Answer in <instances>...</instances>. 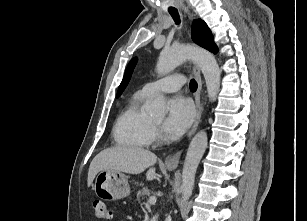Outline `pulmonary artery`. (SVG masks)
<instances>
[{
  "mask_svg": "<svg viewBox=\"0 0 307 221\" xmlns=\"http://www.w3.org/2000/svg\"><path fill=\"white\" fill-rule=\"evenodd\" d=\"M184 84H185V77L182 74H175L145 84L144 87L142 88V91L149 96H154L160 93L176 92Z\"/></svg>",
  "mask_w": 307,
  "mask_h": 221,
  "instance_id": "pulmonary-artery-1",
  "label": "pulmonary artery"
}]
</instances>
